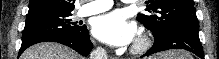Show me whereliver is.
Returning <instances> with one entry per match:
<instances>
[{"label":"liver","mask_w":219,"mask_h":59,"mask_svg":"<svg viewBox=\"0 0 219 59\" xmlns=\"http://www.w3.org/2000/svg\"><path fill=\"white\" fill-rule=\"evenodd\" d=\"M20 59H84L73 50L55 43H40L26 49Z\"/></svg>","instance_id":"1"}]
</instances>
